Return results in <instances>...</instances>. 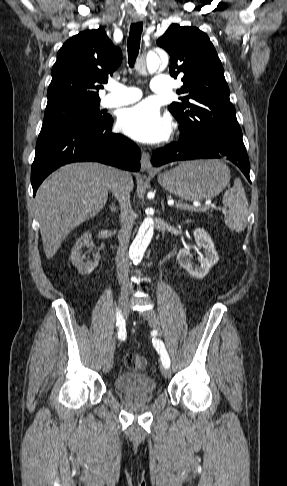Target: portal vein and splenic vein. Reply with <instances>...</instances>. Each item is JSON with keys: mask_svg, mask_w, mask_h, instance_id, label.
I'll return each mask as SVG.
<instances>
[{"mask_svg": "<svg viewBox=\"0 0 287 486\" xmlns=\"http://www.w3.org/2000/svg\"><path fill=\"white\" fill-rule=\"evenodd\" d=\"M170 206H172L174 203L173 202H168ZM177 209L183 210V211H191V212H205L211 207H215V204L212 203L211 201H208L205 203V205H188L186 203H178L175 205ZM221 209V208H219ZM225 210L222 208V211Z\"/></svg>", "mask_w": 287, "mask_h": 486, "instance_id": "1", "label": "portal vein and splenic vein"}]
</instances>
